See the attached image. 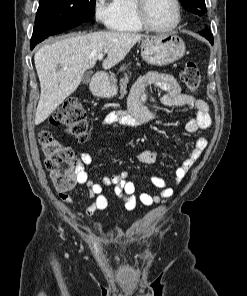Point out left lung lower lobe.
Instances as JSON below:
<instances>
[{"label":"left lung lower lobe","instance_id":"1","mask_svg":"<svg viewBox=\"0 0 247 296\" xmlns=\"http://www.w3.org/2000/svg\"><path fill=\"white\" fill-rule=\"evenodd\" d=\"M202 36H204L206 39H208L210 41L211 44H213V35L210 32L209 29H204L202 31L199 32Z\"/></svg>","mask_w":247,"mask_h":296}]
</instances>
